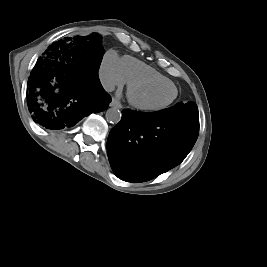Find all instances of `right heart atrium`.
<instances>
[{
	"label": "right heart atrium",
	"mask_w": 267,
	"mask_h": 267,
	"mask_svg": "<svg viewBox=\"0 0 267 267\" xmlns=\"http://www.w3.org/2000/svg\"><path fill=\"white\" fill-rule=\"evenodd\" d=\"M99 77L106 90H113L125 84L121 60L114 51H108L101 62Z\"/></svg>",
	"instance_id": "obj_1"
}]
</instances>
